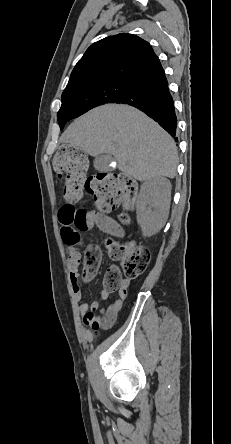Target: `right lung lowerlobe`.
Segmentation results:
<instances>
[{
	"label": "right lung lower lobe",
	"instance_id": "right-lung-lower-lobe-1",
	"mask_svg": "<svg viewBox=\"0 0 231 444\" xmlns=\"http://www.w3.org/2000/svg\"><path fill=\"white\" fill-rule=\"evenodd\" d=\"M115 103L129 104L140 109L178 141L177 117L164 73L137 83Z\"/></svg>",
	"mask_w": 231,
	"mask_h": 444
}]
</instances>
